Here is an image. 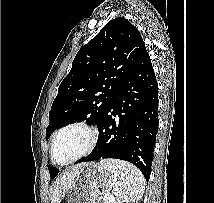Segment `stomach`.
Wrapping results in <instances>:
<instances>
[{
  "label": "stomach",
  "mask_w": 214,
  "mask_h": 203,
  "mask_svg": "<svg viewBox=\"0 0 214 203\" xmlns=\"http://www.w3.org/2000/svg\"><path fill=\"white\" fill-rule=\"evenodd\" d=\"M113 181V175L100 164L85 163L58 203H100L114 187Z\"/></svg>",
  "instance_id": "stomach-1"
}]
</instances>
